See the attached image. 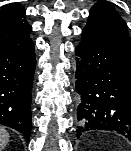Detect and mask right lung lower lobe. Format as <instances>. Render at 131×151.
Returning <instances> with one entry per match:
<instances>
[{"mask_svg": "<svg viewBox=\"0 0 131 151\" xmlns=\"http://www.w3.org/2000/svg\"><path fill=\"white\" fill-rule=\"evenodd\" d=\"M29 31L0 35V124L21 132L29 142L31 89L36 66Z\"/></svg>", "mask_w": 131, "mask_h": 151, "instance_id": "obj_1", "label": "right lung lower lobe"}]
</instances>
